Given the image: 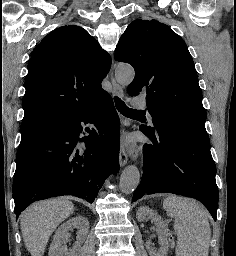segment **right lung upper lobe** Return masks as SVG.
Wrapping results in <instances>:
<instances>
[{
	"label": "right lung upper lobe",
	"mask_w": 236,
	"mask_h": 256,
	"mask_svg": "<svg viewBox=\"0 0 236 256\" xmlns=\"http://www.w3.org/2000/svg\"><path fill=\"white\" fill-rule=\"evenodd\" d=\"M110 65L109 54L83 28L70 25L52 31L29 60L23 121L65 120L108 96L101 82Z\"/></svg>",
	"instance_id": "obj_1"
}]
</instances>
